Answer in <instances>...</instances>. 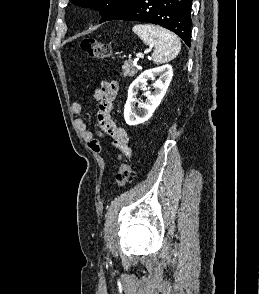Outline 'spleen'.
Masks as SVG:
<instances>
[{"mask_svg":"<svg viewBox=\"0 0 259 294\" xmlns=\"http://www.w3.org/2000/svg\"><path fill=\"white\" fill-rule=\"evenodd\" d=\"M132 30L146 45L154 46L152 59L156 64L171 61L181 50L179 39L167 29L156 25L139 24Z\"/></svg>","mask_w":259,"mask_h":294,"instance_id":"spleen-1","label":"spleen"}]
</instances>
